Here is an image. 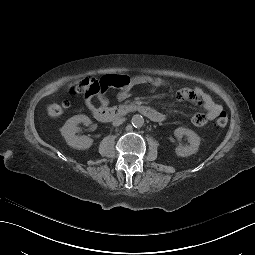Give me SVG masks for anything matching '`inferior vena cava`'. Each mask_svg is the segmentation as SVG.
<instances>
[{"label": "inferior vena cava", "instance_id": "602c4592", "mask_svg": "<svg viewBox=\"0 0 255 255\" xmlns=\"http://www.w3.org/2000/svg\"><path fill=\"white\" fill-rule=\"evenodd\" d=\"M125 121V118H118L113 121V126H119Z\"/></svg>", "mask_w": 255, "mask_h": 255}]
</instances>
